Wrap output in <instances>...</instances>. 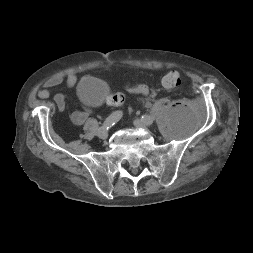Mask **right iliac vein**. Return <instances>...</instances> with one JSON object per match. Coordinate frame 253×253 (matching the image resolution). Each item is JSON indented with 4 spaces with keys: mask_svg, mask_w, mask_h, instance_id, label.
I'll return each mask as SVG.
<instances>
[{
    "mask_svg": "<svg viewBox=\"0 0 253 253\" xmlns=\"http://www.w3.org/2000/svg\"><path fill=\"white\" fill-rule=\"evenodd\" d=\"M98 137L100 139H106L108 137V129L106 127H101L98 132Z\"/></svg>",
    "mask_w": 253,
    "mask_h": 253,
    "instance_id": "obj_1",
    "label": "right iliac vein"
}]
</instances>
